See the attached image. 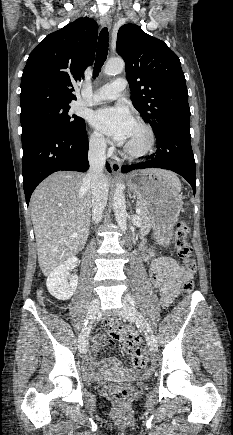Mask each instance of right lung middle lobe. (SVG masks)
<instances>
[{
    "label": "right lung middle lobe",
    "instance_id": "obj_1",
    "mask_svg": "<svg viewBox=\"0 0 233 435\" xmlns=\"http://www.w3.org/2000/svg\"><path fill=\"white\" fill-rule=\"evenodd\" d=\"M69 109V105L53 106L22 115V138L43 130H58L76 135L85 127V121L69 114Z\"/></svg>",
    "mask_w": 233,
    "mask_h": 435
}]
</instances>
